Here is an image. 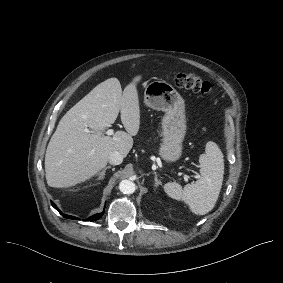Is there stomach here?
Wrapping results in <instances>:
<instances>
[{
    "mask_svg": "<svg viewBox=\"0 0 283 283\" xmlns=\"http://www.w3.org/2000/svg\"><path fill=\"white\" fill-rule=\"evenodd\" d=\"M144 103L152 109L165 112L159 154L168 162L178 160L186 134L184 99L172 85L164 81H154L145 88Z\"/></svg>",
    "mask_w": 283,
    "mask_h": 283,
    "instance_id": "1",
    "label": "stomach"
}]
</instances>
